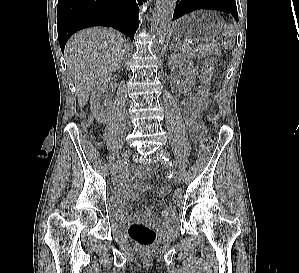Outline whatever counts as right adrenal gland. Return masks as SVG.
<instances>
[{"label":"right adrenal gland","mask_w":299,"mask_h":273,"mask_svg":"<svg viewBox=\"0 0 299 273\" xmlns=\"http://www.w3.org/2000/svg\"><path fill=\"white\" fill-rule=\"evenodd\" d=\"M126 58H127V55L124 56L123 61H122V65H121L120 67H122V66H123V63L126 62Z\"/></svg>","instance_id":"2a0ac1e0"}]
</instances>
